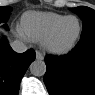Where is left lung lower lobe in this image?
<instances>
[{"label": "left lung lower lobe", "mask_w": 95, "mask_h": 95, "mask_svg": "<svg viewBox=\"0 0 95 95\" xmlns=\"http://www.w3.org/2000/svg\"><path fill=\"white\" fill-rule=\"evenodd\" d=\"M45 62L50 95H95V33L80 38L71 53L47 56Z\"/></svg>", "instance_id": "0a47b994"}]
</instances>
